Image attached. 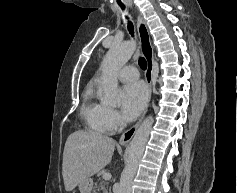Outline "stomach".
Returning <instances> with one entry per match:
<instances>
[{"mask_svg": "<svg viewBox=\"0 0 237 193\" xmlns=\"http://www.w3.org/2000/svg\"><path fill=\"white\" fill-rule=\"evenodd\" d=\"M92 188L93 180L91 178H87L79 184L80 193H91Z\"/></svg>", "mask_w": 237, "mask_h": 193, "instance_id": "0dacf381", "label": "stomach"}]
</instances>
